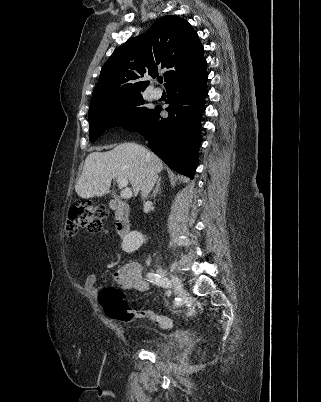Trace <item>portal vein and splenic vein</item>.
Here are the masks:
<instances>
[{
  "instance_id": "obj_1",
  "label": "portal vein and splenic vein",
  "mask_w": 321,
  "mask_h": 402,
  "mask_svg": "<svg viewBox=\"0 0 321 402\" xmlns=\"http://www.w3.org/2000/svg\"><path fill=\"white\" fill-rule=\"evenodd\" d=\"M117 183L120 187H122V191H121V197L124 199H128L132 197V190L131 188L127 187L128 185V180L126 178H118L117 179Z\"/></svg>"
}]
</instances>
